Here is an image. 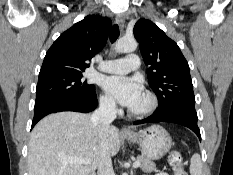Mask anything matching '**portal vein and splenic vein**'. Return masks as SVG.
<instances>
[{
  "label": "portal vein and splenic vein",
  "instance_id": "obj_1",
  "mask_svg": "<svg viewBox=\"0 0 233 175\" xmlns=\"http://www.w3.org/2000/svg\"><path fill=\"white\" fill-rule=\"evenodd\" d=\"M66 162L77 163V164H89L91 161L88 158H70V159H67ZM140 165H141V162L139 160H136L133 164V167L137 168Z\"/></svg>",
  "mask_w": 233,
  "mask_h": 175
}]
</instances>
